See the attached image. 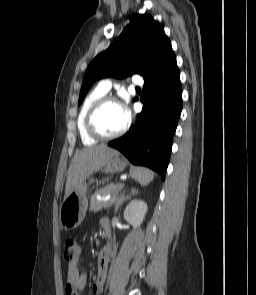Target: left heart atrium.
<instances>
[{"mask_svg":"<svg viewBox=\"0 0 256 295\" xmlns=\"http://www.w3.org/2000/svg\"><path fill=\"white\" fill-rule=\"evenodd\" d=\"M122 109H123V111L125 112V114H126V109H125V107H122Z\"/></svg>","mask_w":256,"mask_h":295,"instance_id":"obj_1","label":"left heart atrium"}]
</instances>
